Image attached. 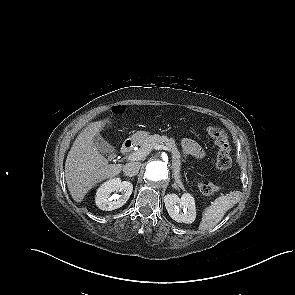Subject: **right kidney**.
<instances>
[{
	"mask_svg": "<svg viewBox=\"0 0 295 295\" xmlns=\"http://www.w3.org/2000/svg\"><path fill=\"white\" fill-rule=\"evenodd\" d=\"M133 191V185L128 181H121L119 178L110 179L103 183L96 193V205L99 209L111 211L122 207L129 199ZM121 192V195L112 194Z\"/></svg>",
	"mask_w": 295,
	"mask_h": 295,
	"instance_id": "ca27d5eb",
	"label": "right kidney"
}]
</instances>
